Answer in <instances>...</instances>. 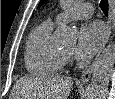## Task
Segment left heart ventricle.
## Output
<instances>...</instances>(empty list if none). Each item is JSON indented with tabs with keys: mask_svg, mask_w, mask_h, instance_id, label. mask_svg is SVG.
I'll use <instances>...</instances> for the list:
<instances>
[{
	"mask_svg": "<svg viewBox=\"0 0 115 99\" xmlns=\"http://www.w3.org/2000/svg\"><path fill=\"white\" fill-rule=\"evenodd\" d=\"M73 50H74V47L73 46H69L64 51L68 52V53H71Z\"/></svg>",
	"mask_w": 115,
	"mask_h": 99,
	"instance_id": "left-heart-ventricle-1",
	"label": "left heart ventricle"
}]
</instances>
